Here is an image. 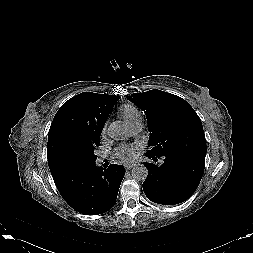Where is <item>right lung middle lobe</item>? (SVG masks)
Masks as SVG:
<instances>
[{
	"instance_id": "obj_1",
	"label": "right lung middle lobe",
	"mask_w": 253,
	"mask_h": 253,
	"mask_svg": "<svg viewBox=\"0 0 253 253\" xmlns=\"http://www.w3.org/2000/svg\"><path fill=\"white\" fill-rule=\"evenodd\" d=\"M99 145L100 140L87 146L69 147L59 156L56 163L57 170L61 174L68 170L95 163L97 156L94 151Z\"/></svg>"
}]
</instances>
